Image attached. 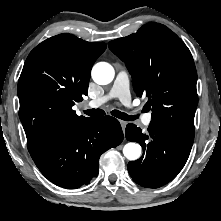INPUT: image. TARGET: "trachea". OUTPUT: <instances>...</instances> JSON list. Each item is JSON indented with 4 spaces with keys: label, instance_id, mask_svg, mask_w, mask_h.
I'll list each match as a JSON object with an SVG mask.
<instances>
[{
    "label": "trachea",
    "instance_id": "3493384b",
    "mask_svg": "<svg viewBox=\"0 0 221 221\" xmlns=\"http://www.w3.org/2000/svg\"><path fill=\"white\" fill-rule=\"evenodd\" d=\"M84 113L91 117H98V116H102L105 114V112L102 109H88V110H85ZM111 114L125 121H133L137 119L136 116L128 115L126 113L120 112L119 110H113L111 111Z\"/></svg>",
    "mask_w": 221,
    "mask_h": 221
}]
</instances>
